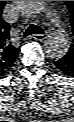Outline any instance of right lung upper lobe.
Returning <instances> with one entry per match:
<instances>
[{
  "instance_id": "right-lung-upper-lobe-1",
  "label": "right lung upper lobe",
  "mask_w": 74,
  "mask_h": 122,
  "mask_svg": "<svg viewBox=\"0 0 74 122\" xmlns=\"http://www.w3.org/2000/svg\"><path fill=\"white\" fill-rule=\"evenodd\" d=\"M5 2L0 1V76L11 68L18 56V49L12 45L10 39V26L1 16Z\"/></svg>"
}]
</instances>
